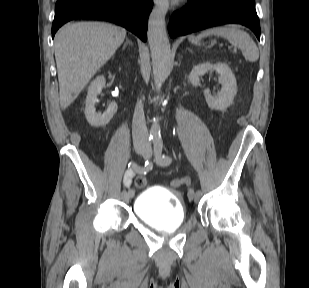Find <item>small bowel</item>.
Here are the masks:
<instances>
[{
	"label": "small bowel",
	"mask_w": 309,
	"mask_h": 288,
	"mask_svg": "<svg viewBox=\"0 0 309 288\" xmlns=\"http://www.w3.org/2000/svg\"><path fill=\"white\" fill-rule=\"evenodd\" d=\"M133 177H134V171L132 169L127 170L124 176V184L126 186H129L132 182Z\"/></svg>",
	"instance_id": "1"
}]
</instances>
